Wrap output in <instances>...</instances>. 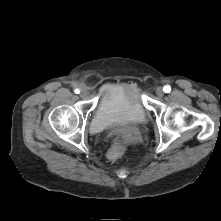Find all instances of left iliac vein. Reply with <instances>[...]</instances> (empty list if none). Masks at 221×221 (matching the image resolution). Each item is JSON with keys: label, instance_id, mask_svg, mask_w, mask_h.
I'll return each mask as SVG.
<instances>
[{"label": "left iliac vein", "instance_id": "left-iliac-vein-1", "mask_svg": "<svg viewBox=\"0 0 221 221\" xmlns=\"http://www.w3.org/2000/svg\"><path fill=\"white\" fill-rule=\"evenodd\" d=\"M156 94H157L158 97H163V95H164L163 89L161 87H158L156 89Z\"/></svg>", "mask_w": 221, "mask_h": 221}]
</instances>
